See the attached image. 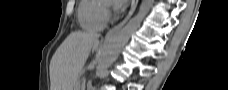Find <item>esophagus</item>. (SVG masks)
<instances>
[{"label": "esophagus", "mask_w": 228, "mask_h": 90, "mask_svg": "<svg viewBox=\"0 0 228 90\" xmlns=\"http://www.w3.org/2000/svg\"><path fill=\"white\" fill-rule=\"evenodd\" d=\"M137 4H138V0H132V3H131V8L128 12V14L126 15V17L116 26H114L113 28H111L105 38H109L111 36H113L117 31H119L124 25L125 23L130 19V17L133 15L136 7H137Z\"/></svg>", "instance_id": "1"}]
</instances>
